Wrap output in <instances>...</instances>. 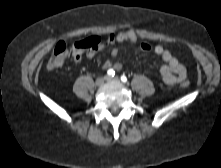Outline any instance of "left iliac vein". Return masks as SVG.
Masks as SVG:
<instances>
[{"mask_svg":"<svg viewBox=\"0 0 221 168\" xmlns=\"http://www.w3.org/2000/svg\"><path fill=\"white\" fill-rule=\"evenodd\" d=\"M106 81H109V82H111V81L119 82V78H117V77H106Z\"/></svg>","mask_w":221,"mask_h":168,"instance_id":"left-iliac-vein-1","label":"left iliac vein"}]
</instances>
